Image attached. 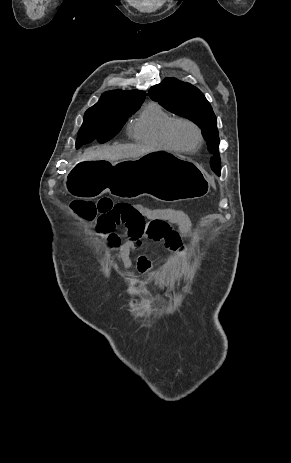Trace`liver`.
Listing matches in <instances>:
<instances>
[{
	"instance_id": "6515ba94",
	"label": "liver",
	"mask_w": 291,
	"mask_h": 463,
	"mask_svg": "<svg viewBox=\"0 0 291 463\" xmlns=\"http://www.w3.org/2000/svg\"><path fill=\"white\" fill-rule=\"evenodd\" d=\"M155 149L150 146L127 144L112 145L87 149L80 157V162L86 161H110L117 162L123 159H136Z\"/></svg>"
}]
</instances>
